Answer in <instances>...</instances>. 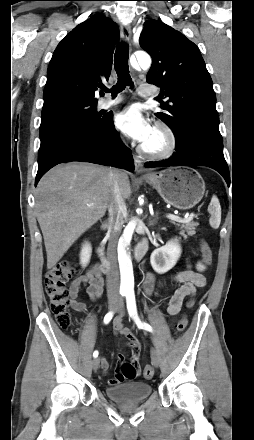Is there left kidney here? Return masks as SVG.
<instances>
[{
    "label": "left kidney",
    "instance_id": "5707ae66",
    "mask_svg": "<svg viewBox=\"0 0 254 440\" xmlns=\"http://www.w3.org/2000/svg\"><path fill=\"white\" fill-rule=\"evenodd\" d=\"M181 255L178 240H170L166 245L154 250L150 257L151 266L155 272L163 274L172 269Z\"/></svg>",
    "mask_w": 254,
    "mask_h": 440
}]
</instances>
